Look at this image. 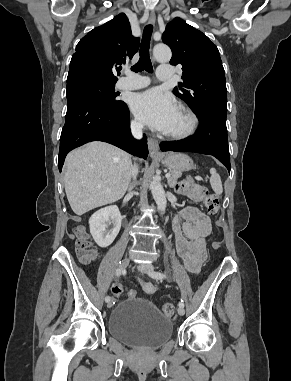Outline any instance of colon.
<instances>
[{
    "mask_svg": "<svg viewBox=\"0 0 291 381\" xmlns=\"http://www.w3.org/2000/svg\"><path fill=\"white\" fill-rule=\"evenodd\" d=\"M178 192L193 202H199L204 205L209 214L215 215L219 211V200L211 194L207 188L201 184H198L190 179L182 180L178 184ZM75 235L77 237L76 250L79 260L88 264L94 261L97 257V251L93 246V243L83 227H77L75 229ZM217 247V243L213 244ZM113 291L116 295L122 294V288L114 286ZM134 290H129L127 296L129 298L136 297ZM175 312V306L172 303H165L162 307V313L166 317H172Z\"/></svg>",
    "mask_w": 291,
    "mask_h": 381,
    "instance_id": "5ec220e1",
    "label": "colon"
}]
</instances>
